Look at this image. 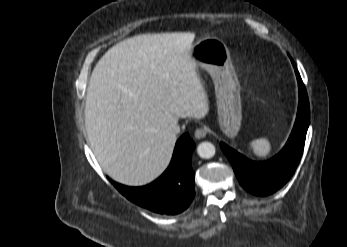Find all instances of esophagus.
Segmentation results:
<instances>
[{"label": "esophagus", "mask_w": 347, "mask_h": 247, "mask_svg": "<svg viewBox=\"0 0 347 247\" xmlns=\"http://www.w3.org/2000/svg\"><path fill=\"white\" fill-rule=\"evenodd\" d=\"M207 132L208 130L206 128H197L194 133L195 138L202 139L207 135Z\"/></svg>", "instance_id": "esophagus-1"}]
</instances>
